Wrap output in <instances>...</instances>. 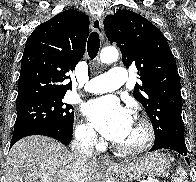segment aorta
I'll return each mask as SVG.
<instances>
[{
    "label": "aorta",
    "mask_w": 196,
    "mask_h": 182,
    "mask_svg": "<svg viewBox=\"0 0 196 182\" xmlns=\"http://www.w3.org/2000/svg\"><path fill=\"white\" fill-rule=\"evenodd\" d=\"M118 57L119 53L117 49L113 47H105L100 53V61L105 64L116 61ZM106 182H112V180L108 179Z\"/></svg>",
    "instance_id": "1"
}]
</instances>
